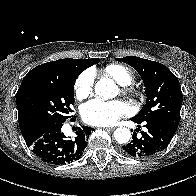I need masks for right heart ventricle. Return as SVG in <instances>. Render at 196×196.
<instances>
[{
	"instance_id": "1",
	"label": "right heart ventricle",
	"mask_w": 196,
	"mask_h": 196,
	"mask_svg": "<svg viewBox=\"0 0 196 196\" xmlns=\"http://www.w3.org/2000/svg\"><path fill=\"white\" fill-rule=\"evenodd\" d=\"M104 73L123 86L130 85L134 80L132 71L120 64H109L105 67Z\"/></svg>"
}]
</instances>
